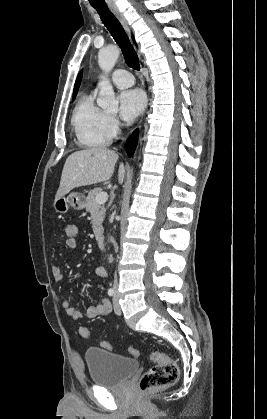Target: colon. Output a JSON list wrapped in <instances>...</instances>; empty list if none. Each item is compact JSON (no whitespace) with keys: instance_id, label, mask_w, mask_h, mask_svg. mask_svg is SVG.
<instances>
[{"instance_id":"obj_1","label":"colon","mask_w":267,"mask_h":419,"mask_svg":"<svg viewBox=\"0 0 267 419\" xmlns=\"http://www.w3.org/2000/svg\"><path fill=\"white\" fill-rule=\"evenodd\" d=\"M65 243L68 246L77 245V227L74 224L67 223L63 228ZM80 335L84 338L90 336V331L87 327L80 328ZM102 347L107 350L112 349V345L104 341ZM129 353L137 357L138 351L134 347H129ZM150 359L155 365L146 371L139 380V388L141 391H150L172 386L179 378L178 364L167 356L165 353L155 350L151 353Z\"/></svg>"}]
</instances>
